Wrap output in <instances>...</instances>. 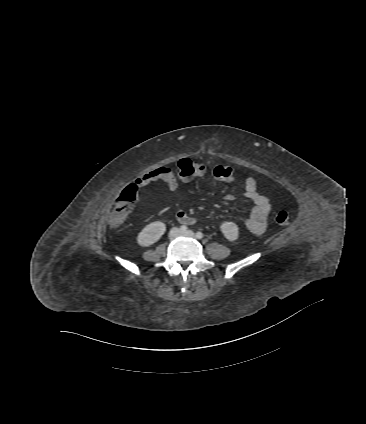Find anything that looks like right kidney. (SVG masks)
Segmentation results:
<instances>
[{
    "instance_id": "right-kidney-1",
    "label": "right kidney",
    "mask_w": 366,
    "mask_h": 424,
    "mask_svg": "<svg viewBox=\"0 0 366 424\" xmlns=\"http://www.w3.org/2000/svg\"><path fill=\"white\" fill-rule=\"evenodd\" d=\"M166 231V226L161 221L148 224L137 236V243L148 247L157 242Z\"/></svg>"
}]
</instances>
